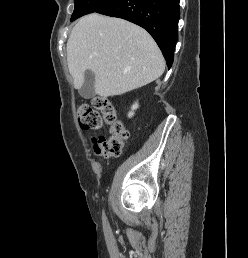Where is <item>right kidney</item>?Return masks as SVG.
Instances as JSON below:
<instances>
[{
	"instance_id": "ca27d5eb",
	"label": "right kidney",
	"mask_w": 248,
	"mask_h": 258,
	"mask_svg": "<svg viewBox=\"0 0 248 258\" xmlns=\"http://www.w3.org/2000/svg\"><path fill=\"white\" fill-rule=\"evenodd\" d=\"M138 103L136 102L135 104L132 105L131 111L128 113V117L131 118L134 115V110L138 108Z\"/></svg>"
}]
</instances>
